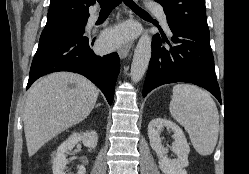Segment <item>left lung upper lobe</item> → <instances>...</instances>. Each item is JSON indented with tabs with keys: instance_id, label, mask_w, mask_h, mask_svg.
Returning <instances> with one entry per match:
<instances>
[{
	"instance_id": "left-lung-upper-lobe-1",
	"label": "left lung upper lobe",
	"mask_w": 249,
	"mask_h": 174,
	"mask_svg": "<svg viewBox=\"0 0 249 174\" xmlns=\"http://www.w3.org/2000/svg\"><path fill=\"white\" fill-rule=\"evenodd\" d=\"M160 3L167 19L179 25L208 29L205 0H155Z\"/></svg>"
}]
</instances>
